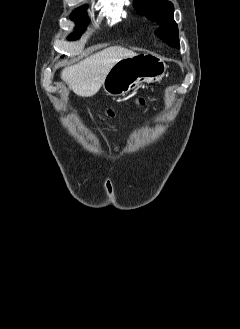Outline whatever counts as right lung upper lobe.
<instances>
[{"label": "right lung upper lobe", "mask_w": 240, "mask_h": 329, "mask_svg": "<svg viewBox=\"0 0 240 329\" xmlns=\"http://www.w3.org/2000/svg\"><path fill=\"white\" fill-rule=\"evenodd\" d=\"M78 9H85V7H80V8H78ZM78 9H76V10H78Z\"/></svg>", "instance_id": "right-lung-upper-lobe-1"}]
</instances>
